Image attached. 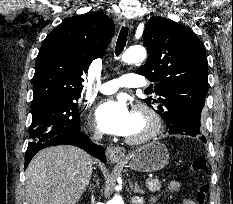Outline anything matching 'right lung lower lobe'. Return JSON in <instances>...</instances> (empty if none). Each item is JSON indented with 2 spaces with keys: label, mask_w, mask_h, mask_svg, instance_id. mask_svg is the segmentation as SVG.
<instances>
[{
  "label": "right lung lower lobe",
  "mask_w": 233,
  "mask_h": 204,
  "mask_svg": "<svg viewBox=\"0 0 233 204\" xmlns=\"http://www.w3.org/2000/svg\"><path fill=\"white\" fill-rule=\"evenodd\" d=\"M61 144H69V145H76L80 148H83L92 156L100 159L104 163L106 162V157L104 155V149L101 146L95 145L91 142V140L81 132L76 133H62L56 135L55 137L51 138L47 142H45L40 148L33 150V151H26L25 154V164L24 169L27 168L29 162L33 158V156L41 149L54 146V145H61Z\"/></svg>",
  "instance_id": "obj_1"
}]
</instances>
